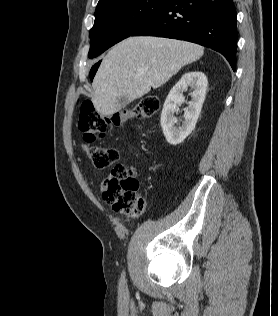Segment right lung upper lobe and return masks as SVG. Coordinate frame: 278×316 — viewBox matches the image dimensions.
Listing matches in <instances>:
<instances>
[{"label": "right lung upper lobe", "mask_w": 278, "mask_h": 316, "mask_svg": "<svg viewBox=\"0 0 278 316\" xmlns=\"http://www.w3.org/2000/svg\"><path fill=\"white\" fill-rule=\"evenodd\" d=\"M104 1H107V0H99L98 4H100V3L104 2Z\"/></svg>", "instance_id": "obj_1"}]
</instances>
